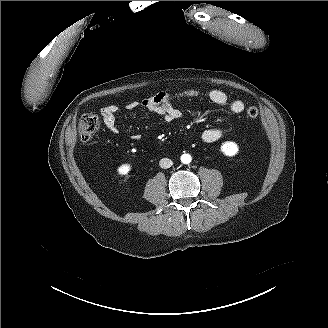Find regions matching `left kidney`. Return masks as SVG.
Masks as SVG:
<instances>
[{
    "label": "left kidney",
    "mask_w": 328,
    "mask_h": 328,
    "mask_svg": "<svg viewBox=\"0 0 328 328\" xmlns=\"http://www.w3.org/2000/svg\"><path fill=\"white\" fill-rule=\"evenodd\" d=\"M220 151L226 157H235L239 153V147L235 142L226 141L221 144Z\"/></svg>",
    "instance_id": "left-kidney-1"
}]
</instances>
